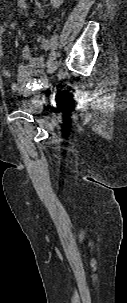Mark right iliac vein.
Segmentation results:
<instances>
[{
	"instance_id": "63e3f726",
	"label": "right iliac vein",
	"mask_w": 127,
	"mask_h": 303,
	"mask_svg": "<svg viewBox=\"0 0 127 303\" xmlns=\"http://www.w3.org/2000/svg\"><path fill=\"white\" fill-rule=\"evenodd\" d=\"M57 67H58V63H57V61H54V62H52V63L48 66L47 72H48L49 74H52L53 72H55V70L57 69Z\"/></svg>"
}]
</instances>
